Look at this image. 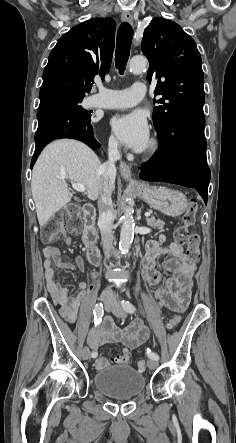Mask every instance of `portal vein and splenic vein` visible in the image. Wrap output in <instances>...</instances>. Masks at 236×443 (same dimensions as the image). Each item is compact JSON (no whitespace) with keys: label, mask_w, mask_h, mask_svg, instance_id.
<instances>
[{"label":"portal vein and splenic vein","mask_w":236,"mask_h":443,"mask_svg":"<svg viewBox=\"0 0 236 443\" xmlns=\"http://www.w3.org/2000/svg\"><path fill=\"white\" fill-rule=\"evenodd\" d=\"M72 187L76 190V191H79V192H85V186L84 185H82V184H79V183H72ZM151 214H150V212H146L145 213V216L146 217H149Z\"/></svg>","instance_id":"portal-vein-and-splenic-vein-1"}]
</instances>
